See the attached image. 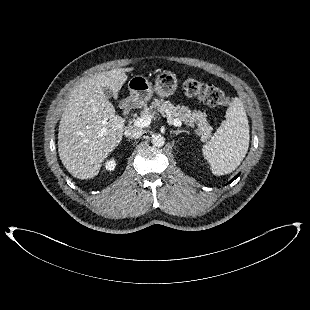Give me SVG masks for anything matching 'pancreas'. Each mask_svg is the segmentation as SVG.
Here are the masks:
<instances>
[{
    "label": "pancreas",
    "instance_id": "pancreas-1",
    "mask_svg": "<svg viewBox=\"0 0 310 310\" xmlns=\"http://www.w3.org/2000/svg\"><path fill=\"white\" fill-rule=\"evenodd\" d=\"M168 115V118L173 121L178 119L187 126L197 125V131L202 136L203 140H207L211 137L213 128L210 126L206 119V113L195 110L192 112L188 107L174 105L170 101L155 99L149 106L145 105L141 111V117L150 116L154 118L158 115Z\"/></svg>",
    "mask_w": 310,
    "mask_h": 310
}]
</instances>
